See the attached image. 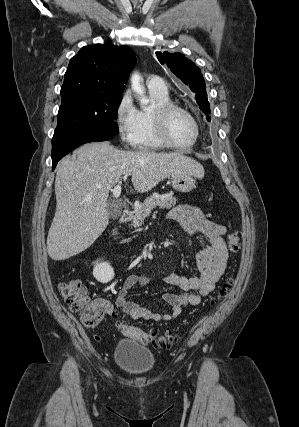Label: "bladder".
Segmentation results:
<instances>
[{
	"label": "bladder",
	"mask_w": 299,
	"mask_h": 427,
	"mask_svg": "<svg viewBox=\"0 0 299 427\" xmlns=\"http://www.w3.org/2000/svg\"><path fill=\"white\" fill-rule=\"evenodd\" d=\"M114 357L120 370L131 376H142L155 365L152 351L129 339H121L114 350Z\"/></svg>",
	"instance_id": "31cf9c89"
}]
</instances>
